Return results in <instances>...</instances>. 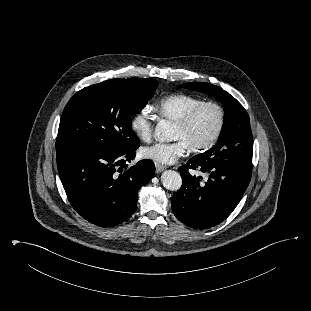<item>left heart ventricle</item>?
Here are the masks:
<instances>
[{"label": "left heart ventricle", "mask_w": 311, "mask_h": 311, "mask_svg": "<svg viewBox=\"0 0 311 311\" xmlns=\"http://www.w3.org/2000/svg\"><path fill=\"white\" fill-rule=\"evenodd\" d=\"M217 121L216 110L211 107L205 108L188 129L183 130L175 126L173 139L183 141L188 147L202 144L214 132Z\"/></svg>", "instance_id": "b2bd125f"}]
</instances>
